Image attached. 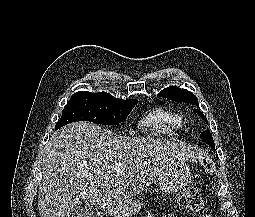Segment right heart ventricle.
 <instances>
[{"label":"right heart ventricle","instance_id":"obj_1","mask_svg":"<svg viewBox=\"0 0 255 217\" xmlns=\"http://www.w3.org/2000/svg\"><path fill=\"white\" fill-rule=\"evenodd\" d=\"M183 121L175 112L158 107L151 110L141 121V125L159 136H175L182 128Z\"/></svg>","mask_w":255,"mask_h":217}]
</instances>
